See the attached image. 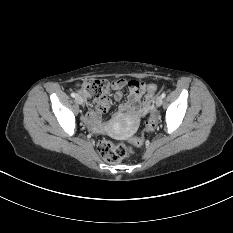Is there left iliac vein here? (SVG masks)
Segmentation results:
<instances>
[{"mask_svg":"<svg viewBox=\"0 0 233 233\" xmlns=\"http://www.w3.org/2000/svg\"><path fill=\"white\" fill-rule=\"evenodd\" d=\"M163 103V98L161 96H158L155 100V104L157 107H160Z\"/></svg>","mask_w":233,"mask_h":233,"instance_id":"1","label":"left iliac vein"}]
</instances>
